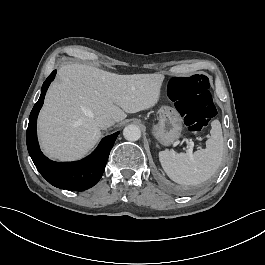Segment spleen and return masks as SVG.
Wrapping results in <instances>:
<instances>
[{"label":"spleen","mask_w":265,"mask_h":265,"mask_svg":"<svg viewBox=\"0 0 265 265\" xmlns=\"http://www.w3.org/2000/svg\"><path fill=\"white\" fill-rule=\"evenodd\" d=\"M223 142L221 123L214 119L211 121L210 136L205 142V148L191 155L162 150L158 152L159 162L173 181L184 185L199 184L209 179L220 166Z\"/></svg>","instance_id":"obj_1"}]
</instances>
